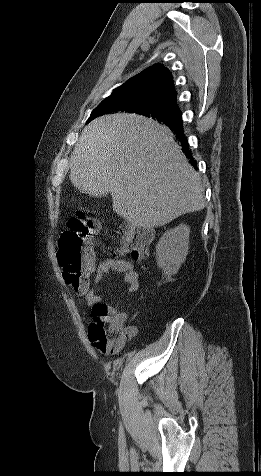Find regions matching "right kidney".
Segmentation results:
<instances>
[{"instance_id": "1", "label": "right kidney", "mask_w": 261, "mask_h": 476, "mask_svg": "<svg viewBox=\"0 0 261 476\" xmlns=\"http://www.w3.org/2000/svg\"><path fill=\"white\" fill-rule=\"evenodd\" d=\"M190 228L180 224L166 231L156 246L157 265L168 277L178 272L188 254Z\"/></svg>"}]
</instances>
